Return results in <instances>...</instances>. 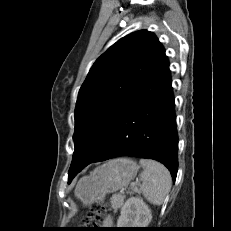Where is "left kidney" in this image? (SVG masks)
<instances>
[{
    "instance_id": "obj_1",
    "label": "left kidney",
    "mask_w": 231,
    "mask_h": 231,
    "mask_svg": "<svg viewBox=\"0 0 231 231\" xmlns=\"http://www.w3.org/2000/svg\"><path fill=\"white\" fill-rule=\"evenodd\" d=\"M152 219L151 210L139 197L129 198L121 208L118 228H146Z\"/></svg>"
}]
</instances>
